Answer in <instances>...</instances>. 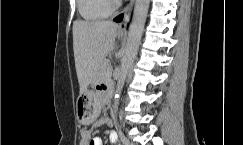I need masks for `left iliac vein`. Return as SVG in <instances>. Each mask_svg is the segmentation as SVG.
<instances>
[{
    "instance_id": "4c4485c4",
    "label": "left iliac vein",
    "mask_w": 243,
    "mask_h": 145,
    "mask_svg": "<svg viewBox=\"0 0 243 145\" xmlns=\"http://www.w3.org/2000/svg\"><path fill=\"white\" fill-rule=\"evenodd\" d=\"M125 145H134V144H132L130 141H127Z\"/></svg>"
}]
</instances>
